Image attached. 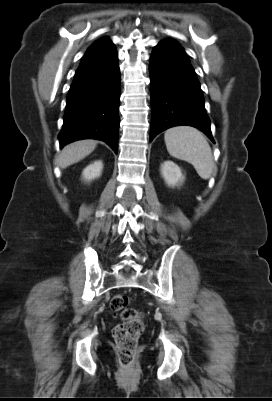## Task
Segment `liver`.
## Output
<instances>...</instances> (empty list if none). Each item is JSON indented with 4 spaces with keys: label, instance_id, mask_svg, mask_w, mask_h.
I'll return each mask as SVG.
<instances>
[{
    "label": "liver",
    "instance_id": "6515ba94",
    "mask_svg": "<svg viewBox=\"0 0 272 401\" xmlns=\"http://www.w3.org/2000/svg\"><path fill=\"white\" fill-rule=\"evenodd\" d=\"M97 145L95 140H81L66 145L58 157V163L61 168H66L74 163L84 159L92 153Z\"/></svg>",
    "mask_w": 272,
    "mask_h": 401
}]
</instances>
